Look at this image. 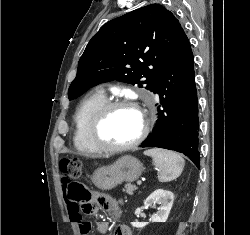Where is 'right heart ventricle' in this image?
Masks as SVG:
<instances>
[{
	"label": "right heart ventricle",
	"instance_id": "obj_1",
	"mask_svg": "<svg viewBox=\"0 0 250 235\" xmlns=\"http://www.w3.org/2000/svg\"><path fill=\"white\" fill-rule=\"evenodd\" d=\"M106 101L104 93L96 91L84 98L76 110L73 143L78 152L83 155L94 156L103 152L93 145L88 133L92 117Z\"/></svg>",
	"mask_w": 250,
	"mask_h": 235
}]
</instances>
